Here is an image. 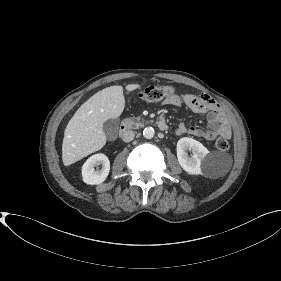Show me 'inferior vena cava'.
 Returning a JSON list of instances; mask_svg holds the SVG:
<instances>
[{
    "label": "inferior vena cava",
    "mask_w": 281,
    "mask_h": 281,
    "mask_svg": "<svg viewBox=\"0 0 281 281\" xmlns=\"http://www.w3.org/2000/svg\"><path fill=\"white\" fill-rule=\"evenodd\" d=\"M135 137V133L131 130H128V131H125L123 134H122V140L124 142H130L134 139Z\"/></svg>",
    "instance_id": "1"
}]
</instances>
